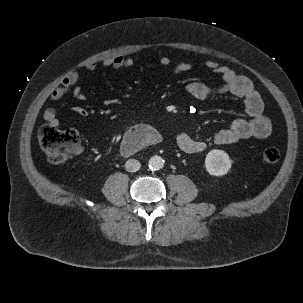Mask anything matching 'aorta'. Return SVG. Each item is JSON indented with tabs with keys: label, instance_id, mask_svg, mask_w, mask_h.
<instances>
[{
	"label": "aorta",
	"instance_id": "762f6f07",
	"mask_svg": "<svg viewBox=\"0 0 303 303\" xmlns=\"http://www.w3.org/2000/svg\"><path fill=\"white\" fill-rule=\"evenodd\" d=\"M148 166L151 170H160L164 166V160L158 155L152 156L149 159Z\"/></svg>",
	"mask_w": 303,
	"mask_h": 303
}]
</instances>
